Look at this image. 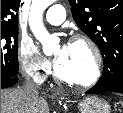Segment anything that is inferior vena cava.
I'll return each mask as SVG.
<instances>
[{
    "label": "inferior vena cava",
    "instance_id": "602c4592",
    "mask_svg": "<svg viewBox=\"0 0 123 113\" xmlns=\"http://www.w3.org/2000/svg\"><path fill=\"white\" fill-rule=\"evenodd\" d=\"M24 91L31 94H38L37 87L30 82H26Z\"/></svg>",
    "mask_w": 123,
    "mask_h": 113
}]
</instances>
